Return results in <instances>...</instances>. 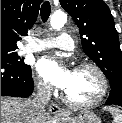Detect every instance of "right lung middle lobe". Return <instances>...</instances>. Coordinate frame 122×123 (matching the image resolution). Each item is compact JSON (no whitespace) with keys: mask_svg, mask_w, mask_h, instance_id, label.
<instances>
[{"mask_svg":"<svg viewBox=\"0 0 122 123\" xmlns=\"http://www.w3.org/2000/svg\"><path fill=\"white\" fill-rule=\"evenodd\" d=\"M15 50L16 49H1V60L21 68H30L29 65L24 63L23 59L17 56Z\"/></svg>","mask_w":122,"mask_h":123,"instance_id":"1","label":"right lung middle lobe"}]
</instances>
